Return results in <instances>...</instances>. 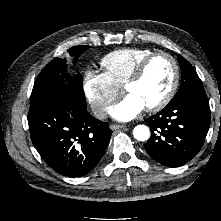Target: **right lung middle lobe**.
Listing matches in <instances>:
<instances>
[{"label":"right lung middle lobe","mask_w":221,"mask_h":221,"mask_svg":"<svg viewBox=\"0 0 221 221\" xmlns=\"http://www.w3.org/2000/svg\"><path fill=\"white\" fill-rule=\"evenodd\" d=\"M89 46H76L68 50L71 56H74L75 60L73 63H76V58L80 56ZM67 65L65 60L55 58L53 61L49 62L43 70L38 75L32 93L30 97V103H37L39 101L45 100L51 94L63 91V92H72L78 97L85 99L83 91V78L80 74L75 76H69L66 74ZM67 79L69 84L66 88H61L63 81Z\"/></svg>","instance_id":"1"}]
</instances>
